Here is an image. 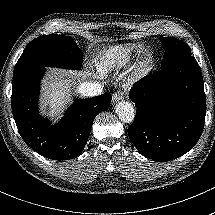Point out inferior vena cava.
I'll return each mask as SVG.
<instances>
[{"label": "inferior vena cava", "instance_id": "obj_1", "mask_svg": "<svg viewBox=\"0 0 215 215\" xmlns=\"http://www.w3.org/2000/svg\"><path fill=\"white\" fill-rule=\"evenodd\" d=\"M79 93L84 97H95L103 93V87L97 82H84L79 87Z\"/></svg>", "mask_w": 215, "mask_h": 215}]
</instances>
